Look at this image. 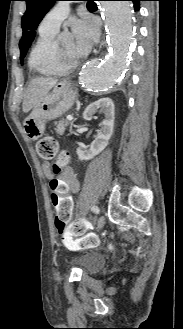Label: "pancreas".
Instances as JSON below:
<instances>
[{
  "mask_svg": "<svg viewBox=\"0 0 183 329\" xmlns=\"http://www.w3.org/2000/svg\"><path fill=\"white\" fill-rule=\"evenodd\" d=\"M56 124V133L59 135H63L65 132L66 127L69 125L68 121L62 119Z\"/></svg>",
  "mask_w": 183,
  "mask_h": 329,
  "instance_id": "obj_1",
  "label": "pancreas"
}]
</instances>
